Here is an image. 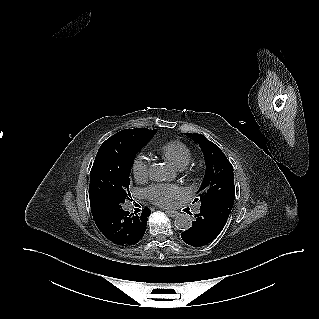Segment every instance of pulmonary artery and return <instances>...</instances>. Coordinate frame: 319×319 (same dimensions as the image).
Segmentation results:
<instances>
[{
  "instance_id": "1",
  "label": "pulmonary artery",
  "mask_w": 319,
  "mask_h": 319,
  "mask_svg": "<svg viewBox=\"0 0 319 319\" xmlns=\"http://www.w3.org/2000/svg\"><path fill=\"white\" fill-rule=\"evenodd\" d=\"M200 212V206H197L196 208H195V213H199Z\"/></svg>"
}]
</instances>
